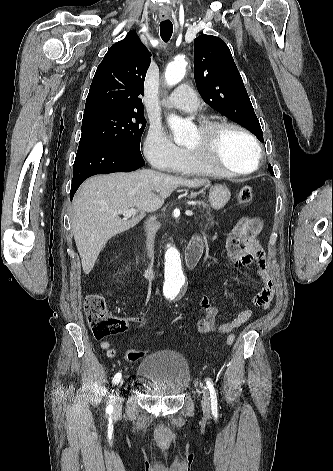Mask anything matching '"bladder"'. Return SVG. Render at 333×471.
Masks as SVG:
<instances>
[{"mask_svg":"<svg viewBox=\"0 0 333 471\" xmlns=\"http://www.w3.org/2000/svg\"><path fill=\"white\" fill-rule=\"evenodd\" d=\"M136 374L150 382L151 393L164 398L182 395L191 383L187 360L173 350H159L147 355L140 361Z\"/></svg>","mask_w":333,"mask_h":471,"instance_id":"31cf9c89","label":"bladder"}]
</instances>
